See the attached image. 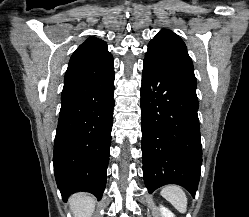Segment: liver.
<instances>
[{"label": "liver", "mask_w": 249, "mask_h": 217, "mask_svg": "<svg viewBox=\"0 0 249 217\" xmlns=\"http://www.w3.org/2000/svg\"><path fill=\"white\" fill-rule=\"evenodd\" d=\"M69 204L74 217H91L95 209L94 197L86 193L71 196Z\"/></svg>", "instance_id": "1"}]
</instances>
